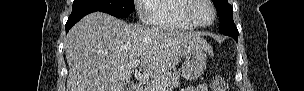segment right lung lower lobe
Returning a JSON list of instances; mask_svg holds the SVG:
<instances>
[{"instance_id": "98d812e1", "label": "right lung lower lobe", "mask_w": 304, "mask_h": 91, "mask_svg": "<svg viewBox=\"0 0 304 91\" xmlns=\"http://www.w3.org/2000/svg\"><path fill=\"white\" fill-rule=\"evenodd\" d=\"M92 12H96V10L93 9H77V10H72L71 15L68 18V21L66 23V34L69 31V29L71 27H73V25H75V23H77L82 17H84L85 15L92 13Z\"/></svg>"}]
</instances>
